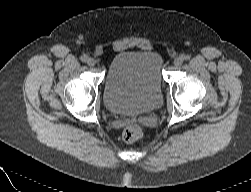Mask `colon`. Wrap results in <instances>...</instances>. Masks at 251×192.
<instances>
[{
	"mask_svg": "<svg viewBox=\"0 0 251 192\" xmlns=\"http://www.w3.org/2000/svg\"><path fill=\"white\" fill-rule=\"evenodd\" d=\"M143 136L142 128L137 124H131L124 128L122 137L126 142H135Z\"/></svg>",
	"mask_w": 251,
	"mask_h": 192,
	"instance_id": "1",
	"label": "colon"
}]
</instances>
